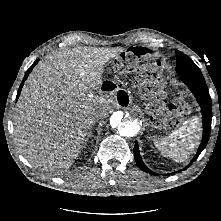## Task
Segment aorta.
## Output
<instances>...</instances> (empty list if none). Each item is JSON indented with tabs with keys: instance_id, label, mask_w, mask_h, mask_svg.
Masks as SVG:
<instances>
[{
	"instance_id": "aorta-1",
	"label": "aorta",
	"mask_w": 221,
	"mask_h": 221,
	"mask_svg": "<svg viewBox=\"0 0 221 221\" xmlns=\"http://www.w3.org/2000/svg\"><path fill=\"white\" fill-rule=\"evenodd\" d=\"M110 125L113 131L123 138L133 137L140 130V121L134 113L115 112L111 116Z\"/></svg>"
}]
</instances>
